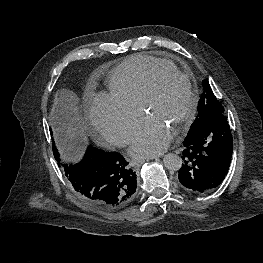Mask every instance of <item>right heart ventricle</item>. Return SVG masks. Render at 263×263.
I'll return each instance as SVG.
<instances>
[{
    "mask_svg": "<svg viewBox=\"0 0 263 263\" xmlns=\"http://www.w3.org/2000/svg\"><path fill=\"white\" fill-rule=\"evenodd\" d=\"M159 67L177 69L172 62L147 55L126 59L108 77L111 95L125 104L140 108L145 87L153 71Z\"/></svg>",
    "mask_w": 263,
    "mask_h": 263,
    "instance_id": "obj_1",
    "label": "right heart ventricle"
}]
</instances>
